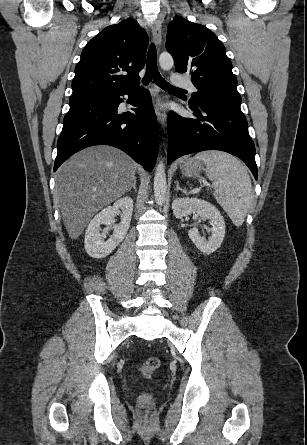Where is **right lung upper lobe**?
Segmentation results:
<instances>
[{"mask_svg":"<svg viewBox=\"0 0 307 445\" xmlns=\"http://www.w3.org/2000/svg\"><path fill=\"white\" fill-rule=\"evenodd\" d=\"M147 45L148 36L134 19L103 29L82 51L70 101L136 86Z\"/></svg>","mask_w":307,"mask_h":445,"instance_id":"right-lung-upper-lobe-1","label":"right lung upper lobe"}]
</instances>
